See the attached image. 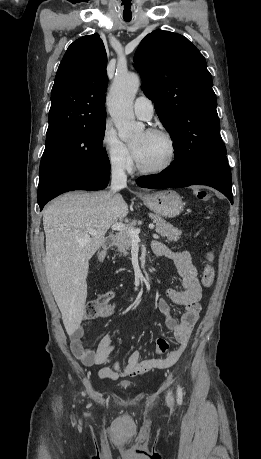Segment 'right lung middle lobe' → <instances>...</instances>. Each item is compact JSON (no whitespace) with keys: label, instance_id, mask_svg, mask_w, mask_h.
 I'll list each match as a JSON object with an SVG mask.
<instances>
[{"label":"right lung middle lobe","instance_id":"dd1d6c3e","mask_svg":"<svg viewBox=\"0 0 261 459\" xmlns=\"http://www.w3.org/2000/svg\"><path fill=\"white\" fill-rule=\"evenodd\" d=\"M106 120L95 125L48 133L40 163L38 195L56 180L79 171H109L103 151Z\"/></svg>","mask_w":261,"mask_h":459}]
</instances>
